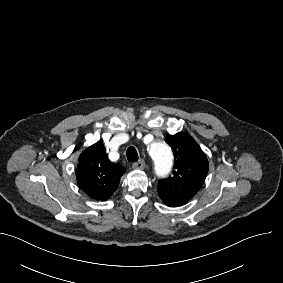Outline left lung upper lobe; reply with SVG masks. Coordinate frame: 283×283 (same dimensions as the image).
I'll return each instance as SVG.
<instances>
[{"instance_id":"left-lung-upper-lobe-1","label":"left lung upper lobe","mask_w":283,"mask_h":283,"mask_svg":"<svg viewBox=\"0 0 283 283\" xmlns=\"http://www.w3.org/2000/svg\"><path fill=\"white\" fill-rule=\"evenodd\" d=\"M175 164L173 175L158 182V194L170 207L188 202L201 188L208 172V161L197 142L186 133L168 135Z\"/></svg>"}]
</instances>
